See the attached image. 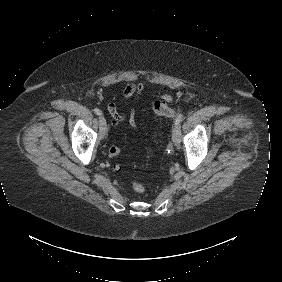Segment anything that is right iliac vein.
I'll list each match as a JSON object with an SVG mask.
<instances>
[{
  "label": "right iliac vein",
  "mask_w": 282,
  "mask_h": 282,
  "mask_svg": "<svg viewBox=\"0 0 282 282\" xmlns=\"http://www.w3.org/2000/svg\"><path fill=\"white\" fill-rule=\"evenodd\" d=\"M99 130H100L101 138L106 137L107 124H106V120L103 116L99 117Z\"/></svg>",
  "instance_id": "obj_1"
}]
</instances>
